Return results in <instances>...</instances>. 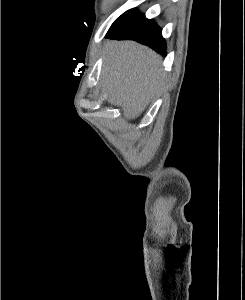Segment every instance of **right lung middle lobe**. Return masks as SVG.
Returning a JSON list of instances; mask_svg holds the SVG:
<instances>
[{
	"label": "right lung middle lobe",
	"instance_id": "right-lung-middle-lobe-1",
	"mask_svg": "<svg viewBox=\"0 0 245 300\" xmlns=\"http://www.w3.org/2000/svg\"><path fill=\"white\" fill-rule=\"evenodd\" d=\"M145 18L143 14L137 12L136 9H131L121 15L111 26L107 33V37L115 34L122 33L132 25Z\"/></svg>",
	"mask_w": 245,
	"mask_h": 300
}]
</instances>
